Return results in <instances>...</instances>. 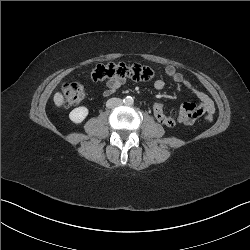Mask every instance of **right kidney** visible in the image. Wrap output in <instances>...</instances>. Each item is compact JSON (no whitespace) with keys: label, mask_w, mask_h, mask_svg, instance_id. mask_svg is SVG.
Returning <instances> with one entry per match:
<instances>
[{"label":"right kidney","mask_w":250,"mask_h":250,"mask_svg":"<svg viewBox=\"0 0 250 250\" xmlns=\"http://www.w3.org/2000/svg\"><path fill=\"white\" fill-rule=\"evenodd\" d=\"M88 113L89 111L86 107H78L70 112L69 118L72 122L78 124L81 123L87 117Z\"/></svg>","instance_id":"right-kidney-1"}]
</instances>
